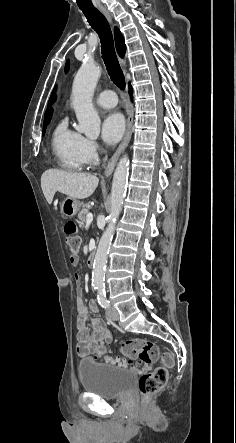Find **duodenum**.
Returning a JSON list of instances; mask_svg holds the SVG:
<instances>
[{
	"mask_svg": "<svg viewBox=\"0 0 236 443\" xmlns=\"http://www.w3.org/2000/svg\"><path fill=\"white\" fill-rule=\"evenodd\" d=\"M95 261V254L94 253H90L87 259V264L89 267H92Z\"/></svg>",
	"mask_w": 236,
	"mask_h": 443,
	"instance_id": "duodenum-1",
	"label": "duodenum"
}]
</instances>
